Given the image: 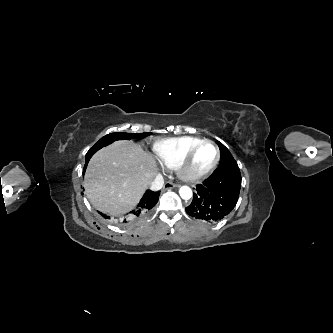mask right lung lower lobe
I'll list each match as a JSON object with an SVG mask.
<instances>
[{"instance_id":"obj_1","label":"right lung lower lobe","mask_w":333,"mask_h":333,"mask_svg":"<svg viewBox=\"0 0 333 333\" xmlns=\"http://www.w3.org/2000/svg\"><path fill=\"white\" fill-rule=\"evenodd\" d=\"M92 155H93V153H91L89 151L86 154V158H85L86 163L84 166L83 174L85 173L87 164H88L90 158L92 157ZM159 195H160L159 192L147 190L146 193L144 194V196L142 197V199L140 200L139 204L137 205V207L134 210H132L130 213H132L133 216H139L140 214L146 213L148 210L152 209L156 205V203L158 202V199H159ZM99 214L101 216H103L104 218H110L109 216H106L103 213L99 212ZM124 222H126V219Z\"/></svg>"}]
</instances>
